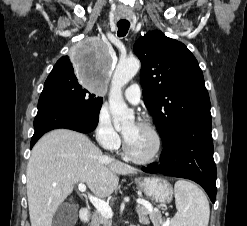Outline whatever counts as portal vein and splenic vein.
<instances>
[{"label":"portal vein and splenic vein","instance_id":"18ae733b","mask_svg":"<svg viewBox=\"0 0 247 226\" xmlns=\"http://www.w3.org/2000/svg\"><path fill=\"white\" fill-rule=\"evenodd\" d=\"M78 189L80 192L84 193L86 192V185L84 183H80L78 185ZM88 198L90 200V202L93 204V206L104 216L107 218H112L113 217V211L111 209V207L109 206L108 203H106L105 201L94 197L90 194H88ZM137 203L144 205L145 207H147L150 211H153V208L150 204H148L145 200L143 199H137ZM170 224V220H166L163 224V226H169Z\"/></svg>","mask_w":247,"mask_h":226}]
</instances>
